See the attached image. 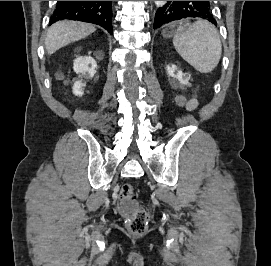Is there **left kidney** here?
<instances>
[{
  "label": "left kidney",
  "instance_id": "5707ae66",
  "mask_svg": "<svg viewBox=\"0 0 271 266\" xmlns=\"http://www.w3.org/2000/svg\"><path fill=\"white\" fill-rule=\"evenodd\" d=\"M166 70L169 76L178 79L181 84L188 83V79L184 78V73H182V71L179 70L177 66L175 65L167 66Z\"/></svg>",
  "mask_w": 271,
  "mask_h": 266
}]
</instances>
